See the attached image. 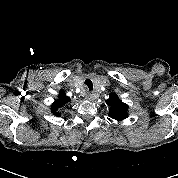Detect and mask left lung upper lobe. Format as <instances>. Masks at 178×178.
Wrapping results in <instances>:
<instances>
[{
    "instance_id": "left-lung-upper-lobe-1",
    "label": "left lung upper lobe",
    "mask_w": 178,
    "mask_h": 178,
    "mask_svg": "<svg viewBox=\"0 0 178 178\" xmlns=\"http://www.w3.org/2000/svg\"><path fill=\"white\" fill-rule=\"evenodd\" d=\"M106 103L110 106L109 116L111 118L121 121L128 117V105L123 103L116 94H112Z\"/></svg>"
}]
</instances>
